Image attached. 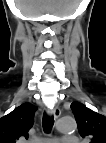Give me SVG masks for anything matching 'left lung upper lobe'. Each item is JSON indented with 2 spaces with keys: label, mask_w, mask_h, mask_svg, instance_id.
Returning <instances> with one entry per match:
<instances>
[{
  "label": "left lung upper lobe",
  "mask_w": 106,
  "mask_h": 143,
  "mask_svg": "<svg viewBox=\"0 0 106 143\" xmlns=\"http://www.w3.org/2000/svg\"><path fill=\"white\" fill-rule=\"evenodd\" d=\"M71 109L80 135L90 143H106V117L87 108L80 102H73Z\"/></svg>",
  "instance_id": "obj_1"
}]
</instances>
